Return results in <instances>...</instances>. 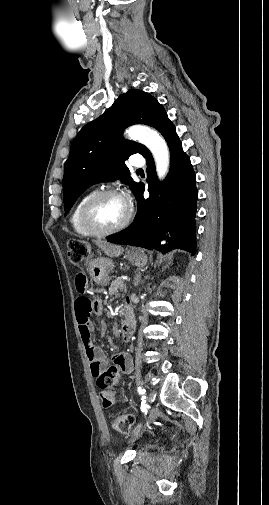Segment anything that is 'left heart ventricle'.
Returning a JSON list of instances; mask_svg holds the SVG:
<instances>
[{
  "label": "left heart ventricle",
  "instance_id": "b2bd125f",
  "mask_svg": "<svg viewBox=\"0 0 269 505\" xmlns=\"http://www.w3.org/2000/svg\"><path fill=\"white\" fill-rule=\"evenodd\" d=\"M127 214V206L121 196H107L98 201L92 209L93 221L103 227L111 228L123 221Z\"/></svg>",
  "mask_w": 269,
  "mask_h": 505
}]
</instances>
